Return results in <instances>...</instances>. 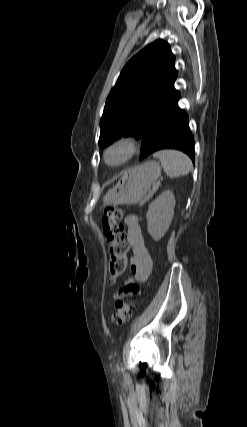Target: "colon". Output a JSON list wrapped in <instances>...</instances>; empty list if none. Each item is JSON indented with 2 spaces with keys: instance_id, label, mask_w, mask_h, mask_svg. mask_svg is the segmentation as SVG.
Returning a JSON list of instances; mask_svg holds the SVG:
<instances>
[{
  "instance_id": "5ec220e1",
  "label": "colon",
  "mask_w": 247,
  "mask_h": 427,
  "mask_svg": "<svg viewBox=\"0 0 247 427\" xmlns=\"http://www.w3.org/2000/svg\"><path fill=\"white\" fill-rule=\"evenodd\" d=\"M123 211L118 207L105 209L102 220L103 233L109 245V273L111 281L121 276L127 266L128 245L124 229L120 223ZM135 305L131 302L118 300L111 315V321L115 325H123L133 314Z\"/></svg>"
}]
</instances>
